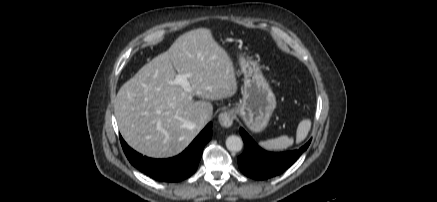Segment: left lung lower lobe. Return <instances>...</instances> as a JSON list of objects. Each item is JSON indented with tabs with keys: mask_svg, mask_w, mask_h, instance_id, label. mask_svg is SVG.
Here are the masks:
<instances>
[{
	"mask_svg": "<svg viewBox=\"0 0 437 202\" xmlns=\"http://www.w3.org/2000/svg\"><path fill=\"white\" fill-rule=\"evenodd\" d=\"M239 131L245 143V150L237 159L239 169L244 175L256 180L282 174L299 158L311 142L310 139L298 150L272 153L261 149L243 128Z\"/></svg>",
	"mask_w": 437,
	"mask_h": 202,
	"instance_id": "0a47b994",
	"label": "left lung lower lobe"
}]
</instances>
